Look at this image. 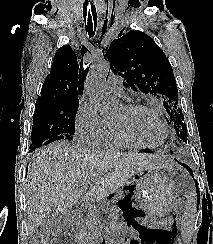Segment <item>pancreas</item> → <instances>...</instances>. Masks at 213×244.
Returning <instances> with one entry per match:
<instances>
[{"label": "pancreas", "mask_w": 213, "mask_h": 244, "mask_svg": "<svg viewBox=\"0 0 213 244\" xmlns=\"http://www.w3.org/2000/svg\"><path fill=\"white\" fill-rule=\"evenodd\" d=\"M98 232L96 221L92 218H87L79 225V235L83 244H89Z\"/></svg>", "instance_id": "cf45deb5"}]
</instances>
